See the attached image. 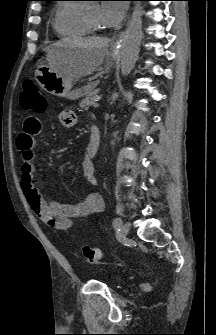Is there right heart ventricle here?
I'll list each match as a JSON object with an SVG mask.
<instances>
[{
	"label": "right heart ventricle",
	"instance_id": "right-heart-ventricle-1",
	"mask_svg": "<svg viewBox=\"0 0 216 335\" xmlns=\"http://www.w3.org/2000/svg\"><path fill=\"white\" fill-rule=\"evenodd\" d=\"M70 2L73 1L57 6L52 19L54 31L62 38H81L89 35L91 30L84 21L80 5Z\"/></svg>",
	"mask_w": 216,
	"mask_h": 335
}]
</instances>
